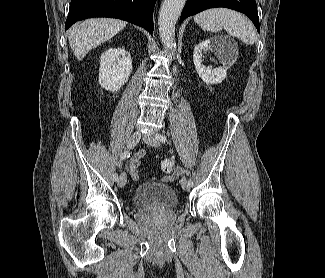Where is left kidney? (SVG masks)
I'll use <instances>...</instances> for the list:
<instances>
[{
	"label": "left kidney",
	"mask_w": 325,
	"mask_h": 278,
	"mask_svg": "<svg viewBox=\"0 0 325 278\" xmlns=\"http://www.w3.org/2000/svg\"><path fill=\"white\" fill-rule=\"evenodd\" d=\"M203 51L213 52L218 59L222 60L223 66L212 69L203 65ZM193 60L198 75L206 84H219L226 78L227 70L236 62L237 49L227 38L214 37L194 47Z\"/></svg>",
	"instance_id": "obj_1"
}]
</instances>
